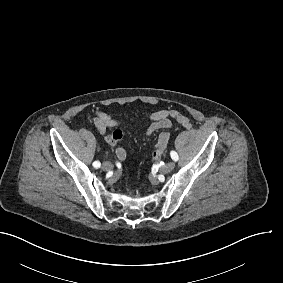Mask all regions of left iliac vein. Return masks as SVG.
Here are the masks:
<instances>
[{
    "mask_svg": "<svg viewBox=\"0 0 283 283\" xmlns=\"http://www.w3.org/2000/svg\"><path fill=\"white\" fill-rule=\"evenodd\" d=\"M174 168V162H169L167 165L163 166L160 170L162 173H168L171 169Z\"/></svg>",
    "mask_w": 283,
    "mask_h": 283,
    "instance_id": "left-iliac-vein-1",
    "label": "left iliac vein"
}]
</instances>
